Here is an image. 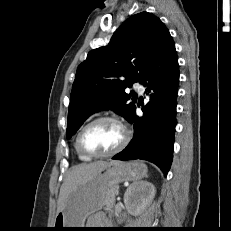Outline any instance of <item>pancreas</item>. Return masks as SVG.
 I'll return each mask as SVG.
<instances>
[{"label":"pancreas","mask_w":231,"mask_h":231,"mask_svg":"<svg viewBox=\"0 0 231 231\" xmlns=\"http://www.w3.org/2000/svg\"><path fill=\"white\" fill-rule=\"evenodd\" d=\"M118 189L117 188H111L104 201V205L106 208H112L115 202V195L117 194Z\"/></svg>","instance_id":"1"}]
</instances>
